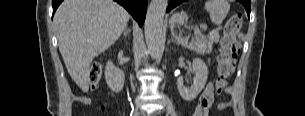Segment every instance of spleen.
Listing matches in <instances>:
<instances>
[{"mask_svg": "<svg viewBox=\"0 0 305 116\" xmlns=\"http://www.w3.org/2000/svg\"><path fill=\"white\" fill-rule=\"evenodd\" d=\"M205 9L210 13V19L215 24L220 26L225 19L230 6L225 0H208L205 3Z\"/></svg>", "mask_w": 305, "mask_h": 116, "instance_id": "obj_1", "label": "spleen"}]
</instances>
